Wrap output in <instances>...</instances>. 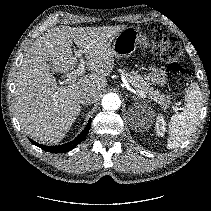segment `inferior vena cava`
Returning a JSON list of instances; mask_svg holds the SVG:
<instances>
[{
  "mask_svg": "<svg viewBox=\"0 0 211 211\" xmlns=\"http://www.w3.org/2000/svg\"><path fill=\"white\" fill-rule=\"evenodd\" d=\"M78 102L82 105H89L94 102V97L91 93H83L79 96Z\"/></svg>",
  "mask_w": 211,
  "mask_h": 211,
  "instance_id": "obj_1",
  "label": "inferior vena cava"
}]
</instances>
